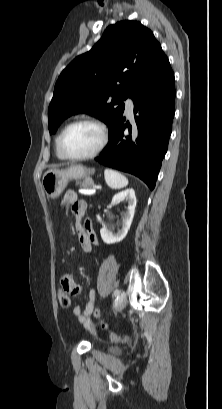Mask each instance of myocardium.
Listing matches in <instances>:
<instances>
[{
  "label": "myocardium",
  "mask_w": 222,
  "mask_h": 409,
  "mask_svg": "<svg viewBox=\"0 0 222 409\" xmlns=\"http://www.w3.org/2000/svg\"><path fill=\"white\" fill-rule=\"evenodd\" d=\"M81 124H91V125L96 126L101 132V141L98 147L93 152L89 154L81 155V156H72L66 153L64 149V139H65L66 134L71 128L77 125H81ZM108 141H109V130L104 122L96 118H82V119H78L76 121L71 122L63 129L59 137V151L65 159L70 160V161L88 160V159L97 157L105 149V147L108 144Z\"/></svg>",
  "instance_id": "obj_1"
}]
</instances>
